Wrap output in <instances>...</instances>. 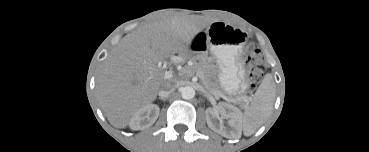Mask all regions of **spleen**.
Returning <instances> with one entry per match:
<instances>
[{
	"instance_id": "1",
	"label": "spleen",
	"mask_w": 369,
	"mask_h": 152,
	"mask_svg": "<svg viewBox=\"0 0 369 152\" xmlns=\"http://www.w3.org/2000/svg\"><path fill=\"white\" fill-rule=\"evenodd\" d=\"M274 97L272 79L267 75L256 91L251 106L242 115L241 123L246 134L254 133L270 115Z\"/></svg>"
}]
</instances>
